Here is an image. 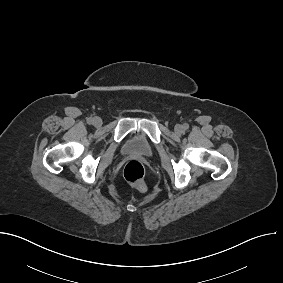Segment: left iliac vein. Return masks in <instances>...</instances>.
Returning <instances> with one entry per match:
<instances>
[{"mask_svg":"<svg viewBox=\"0 0 283 283\" xmlns=\"http://www.w3.org/2000/svg\"><path fill=\"white\" fill-rule=\"evenodd\" d=\"M174 130H175V133L181 134L183 132V127L181 125L177 124L175 126Z\"/></svg>","mask_w":283,"mask_h":283,"instance_id":"obj_1","label":"left iliac vein"}]
</instances>
